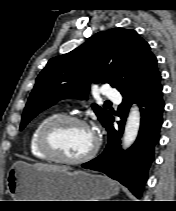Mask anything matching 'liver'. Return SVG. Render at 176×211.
<instances>
[{
  "mask_svg": "<svg viewBox=\"0 0 176 211\" xmlns=\"http://www.w3.org/2000/svg\"><path fill=\"white\" fill-rule=\"evenodd\" d=\"M33 166L39 169H44V170H69V168L65 166H56V165H50V164L36 163Z\"/></svg>",
  "mask_w": 176,
  "mask_h": 211,
  "instance_id": "liver-1",
  "label": "liver"
}]
</instances>
